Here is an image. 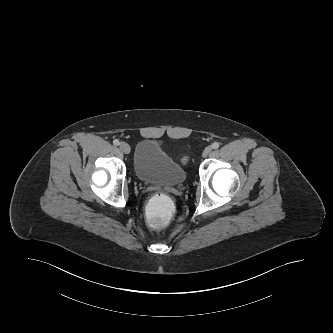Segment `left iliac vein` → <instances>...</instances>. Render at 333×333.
Returning <instances> with one entry per match:
<instances>
[{"label": "left iliac vein", "instance_id": "left-iliac-vein-1", "mask_svg": "<svg viewBox=\"0 0 333 333\" xmlns=\"http://www.w3.org/2000/svg\"><path fill=\"white\" fill-rule=\"evenodd\" d=\"M211 152H212V148L206 147L205 150L203 151V156L207 157Z\"/></svg>", "mask_w": 333, "mask_h": 333}]
</instances>
